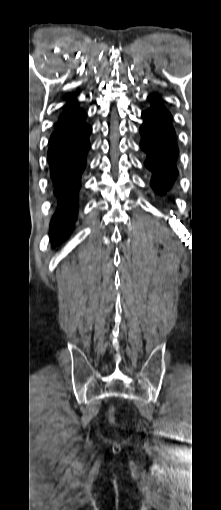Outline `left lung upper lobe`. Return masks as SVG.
Here are the masks:
<instances>
[{
    "mask_svg": "<svg viewBox=\"0 0 221 510\" xmlns=\"http://www.w3.org/2000/svg\"><path fill=\"white\" fill-rule=\"evenodd\" d=\"M152 106L145 112L149 113L156 121L168 129L174 130L171 124L172 116L160 103L158 96H149Z\"/></svg>",
    "mask_w": 221,
    "mask_h": 510,
    "instance_id": "left-lung-upper-lobe-1",
    "label": "left lung upper lobe"
}]
</instances>
